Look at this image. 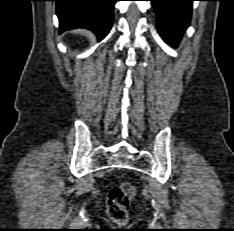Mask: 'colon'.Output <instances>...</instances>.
Returning a JSON list of instances; mask_svg holds the SVG:
<instances>
[{
  "label": "colon",
  "instance_id": "colon-1",
  "mask_svg": "<svg viewBox=\"0 0 234 231\" xmlns=\"http://www.w3.org/2000/svg\"><path fill=\"white\" fill-rule=\"evenodd\" d=\"M134 196L135 190L127 182L111 188L106 200V210L109 217L115 222L124 224L128 220L127 207Z\"/></svg>",
  "mask_w": 234,
  "mask_h": 231
}]
</instances>
